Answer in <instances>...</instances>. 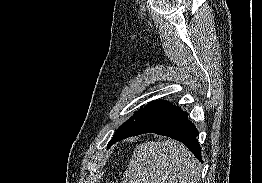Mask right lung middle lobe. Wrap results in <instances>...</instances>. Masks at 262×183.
<instances>
[{
    "instance_id": "1",
    "label": "right lung middle lobe",
    "mask_w": 262,
    "mask_h": 183,
    "mask_svg": "<svg viewBox=\"0 0 262 183\" xmlns=\"http://www.w3.org/2000/svg\"><path fill=\"white\" fill-rule=\"evenodd\" d=\"M147 106V105H146ZM145 106V107H146ZM145 107L142 109V110H139L137 112H135V114L129 119L127 120L125 123H123L119 128L118 130L115 132L112 140L109 142L111 143L112 141H114L115 139H117L121 134L122 132L126 129V127L131 123L133 122L139 115L140 113L145 109Z\"/></svg>"
}]
</instances>
